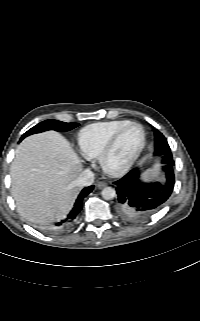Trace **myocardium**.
Returning <instances> with one entry per match:
<instances>
[{"label": "myocardium", "instance_id": "f54148a6", "mask_svg": "<svg viewBox=\"0 0 200 321\" xmlns=\"http://www.w3.org/2000/svg\"><path fill=\"white\" fill-rule=\"evenodd\" d=\"M131 126L139 127L142 131V141H141L140 146L135 151V153L131 156V158L123 166L117 167V168L110 167L108 164L109 156L113 152L122 133L127 128H129ZM145 146H146V131H145L144 127L140 123L129 122V123L125 124L124 126H122L121 128H119L113 134V136L110 138V140L107 142V144L104 146V148L102 149V151L100 152V154L98 156L99 164H100L102 170L106 174H108L112 177L123 176L126 173H128L130 171V169L133 167V165L135 164V162L137 161V159L139 158V156L143 152Z\"/></svg>", "mask_w": 200, "mask_h": 321}]
</instances>
